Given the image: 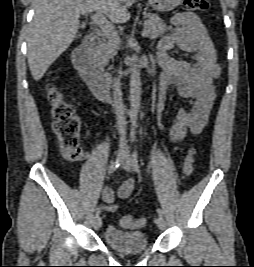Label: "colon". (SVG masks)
Masks as SVG:
<instances>
[{
	"label": "colon",
	"mask_w": 254,
	"mask_h": 267,
	"mask_svg": "<svg viewBox=\"0 0 254 267\" xmlns=\"http://www.w3.org/2000/svg\"><path fill=\"white\" fill-rule=\"evenodd\" d=\"M184 5L189 11L199 12L206 10L209 2L208 0H185ZM47 93L51 105L52 127L62 155L68 162H80L85 158V152L80 144L81 123L75 108L63 98V95L53 84L48 86ZM195 153L194 148H189L187 151L182 164V171L186 175L193 172ZM120 222L123 227L138 229L145 225L146 220L125 215Z\"/></svg>",
	"instance_id": "colon-1"
}]
</instances>
